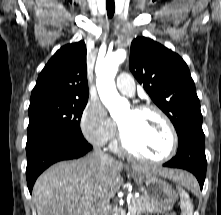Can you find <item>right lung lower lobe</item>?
<instances>
[{
    "label": "right lung lower lobe",
    "instance_id": "1",
    "mask_svg": "<svg viewBox=\"0 0 221 215\" xmlns=\"http://www.w3.org/2000/svg\"><path fill=\"white\" fill-rule=\"evenodd\" d=\"M92 146L84 137L57 134L42 137L26 144L27 169L26 178L30 193L37 177L50 165L85 155Z\"/></svg>",
    "mask_w": 221,
    "mask_h": 215
}]
</instances>
